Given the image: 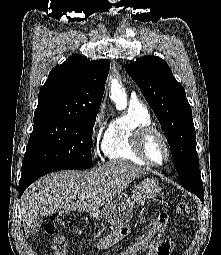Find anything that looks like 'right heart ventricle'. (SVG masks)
I'll list each match as a JSON object with an SVG mask.
<instances>
[{"mask_svg":"<svg viewBox=\"0 0 221 255\" xmlns=\"http://www.w3.org/2000/svg\"><path fill=\"white\" fill-rule=\"evenodd\" d=\"M149 125H152L149 110L140 102L131 100L127 110L114 117L107 126L102 141L104 156L113 161L145 165L133 148V134L137 128Z\"/></svg>","mask_w":221,"mask_h":255,"instance_id":"1","label":"right heart ventricle"}]
</instances>
